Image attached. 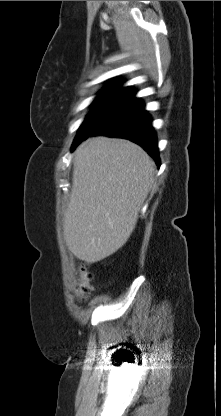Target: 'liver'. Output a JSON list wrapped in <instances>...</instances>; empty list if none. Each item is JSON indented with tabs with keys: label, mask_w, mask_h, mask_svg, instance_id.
Here are the masks:
<instances>
[{
	"label": "liver",
	"mask_w": 221,
	"mask_h": 416,
	"mask_svg": "<svg viewBox=\"0 0 221 416\" xmlns=\"http://www.w3.org/2000/svg\"><path fill=\"white\" fill-rule=\"evenodd\" d=\"M155 163L137 144L99 136L75 151L63 235L78 259L95 263L121 248L154 184Z\"/></svg>",
	"instance_id": "liver-1"
}]
</instances>
